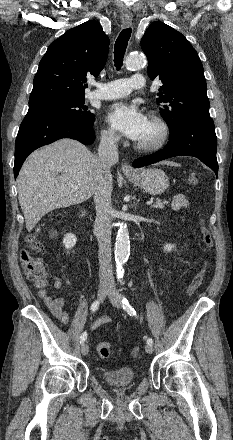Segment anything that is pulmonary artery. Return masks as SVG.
Instances as JSON below:
<instances>
[{
    "mask_svg": "<svg viewBox=\"0 0 233 440\" xmlns=\"http://www.w3.org/2000/svg\"><path fill=\"white\" fill-rule=\"evenodd\" d=\"M145 79L142 74H134L130 78H122L98 84L90 94L91 98L112 100L129 95L133 90L143 88Z\"/></svg>",
    "mask_w": 233,
    "mask_h": 440,
    "instance_id": "e3ab8cb5",
    "label": "pulmonary artery"
}]
</instances>
